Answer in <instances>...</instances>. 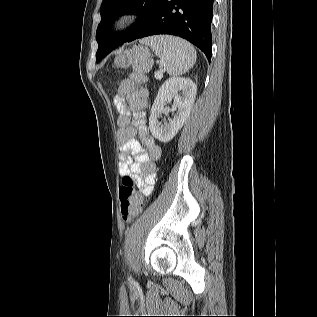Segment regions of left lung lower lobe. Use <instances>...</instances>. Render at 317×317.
Returning a JSON list of instances; mask_svg holds the SVG:
<instances>
[{
  "mask_svg": "<svg viewBox=\"0 0 317 317\" xmlns=\"http://www.w3.org/2000/svg\"><path fill=\"white\" fill-rule=\"evenodd\" d=\"M213 1L162 0L154 16L135 39L157 34L179 36L201 49L210 62ZM118 46L116 43L103 45L99 61Z\"/></svg>",
  "mask_w": 317,
  "mask_h": 317,
  "instance_id": "0a47b994",
  "label": "left lung lower lobe"
}]
</instances>
